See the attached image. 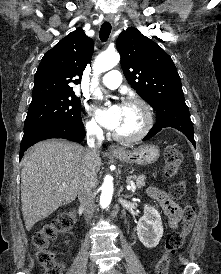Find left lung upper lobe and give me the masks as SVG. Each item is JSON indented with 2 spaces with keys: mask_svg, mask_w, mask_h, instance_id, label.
I'll use <instances>...</instances> for the list:
<instances>
[{
  "mask_svg": "<svg viewBox=\"0 0 221 274\" xmlns=\"http://www.w3.org/2000/svg\"><path fill=\"white\" fill-rule=\"evenodd\" d=\"M116 46L127 81L157 115L185 103L177 69L158 44L129 27L120 33Z\"/></svg>",
  "mask_w": 221,
  "mask_h": 274,
  "instance_id": "left-lung-upper-lobe-1",
  "label": "left lung upper lobe"
}]
</instances>
